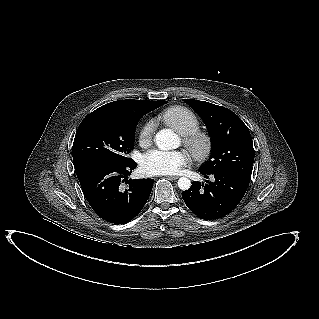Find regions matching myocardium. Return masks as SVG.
I'll use <instances>...</instances> for the list:
<instances>
[{
    "mask_svg": "<svg viewBox=\"0 0 319 319\" xmlns=\"http://www.w3.org/2000/svg\"><path fill=\"white\" fill-rule=\"evenodd\" d=\"M183 143L191 156L197 161L207 160L213 150L211 136L207 132L201 130H196L183 135Z\"/></svg>",
    "mask_w": 319,
    "mask_h": 319,
    "instance_id": "1",
    "label": "myocardium"
}]
</instances>
